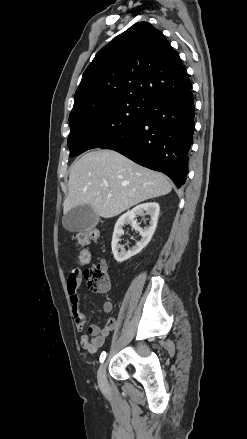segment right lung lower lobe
<instances>
[{"label":"right lung lower lobe","mask_w":247,"mask_h":439,"mask_svg":"<svg viewBox=\"0 0 247 439\" xmlns=\"http://www.w3.org/2000/svg\"><path fill=\"white\" fill-rule=\"evenodd\" d=\"M194 126L191 86L150 103L141 121L107 149L115 150L144 167L163 172L175 185L181 186L187 175Z\"/></svg>","instance_id":"obj_1"}]
</instances>
